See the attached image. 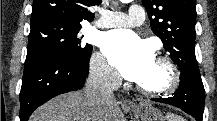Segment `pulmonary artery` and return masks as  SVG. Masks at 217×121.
<instances>
[{
  "label": "pulmonary artery",
  "mask_w": 217,
  "mask_h": 121,
  "mask_svg": "<svg viewBox=\"0 0 217 121\" xmlns=\"http://www.w3.org/2000/svg\"><path fill=\"white\" fill-rule=\"evenodd\" d=\"M145 12L142 6L132 5L127 13L104 10L101 17L95 22L100 28L133 27L143 23Z\"/></svg>",
  "instance_id": "pulmonary-artery-1"
}]
</instances>
